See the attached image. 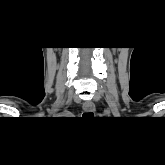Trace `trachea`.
I'll return each mask as SVG.
<instances>
[{
	"label": "trachea",
	"instance_id": "trachea-1",
	"mask_svg": "<svg viewBox=\"0 0 165 165\" xmlns=\"http://www.w3.org/2000/svg\"><path fill=\"white\" fill-rule=\"evenodd\" d=\"M83 116H85V117H92L93 116V113H84Z\"/></svg>",
	"mask_w": 165,
	"mask_h": 165
}]
</instances>
